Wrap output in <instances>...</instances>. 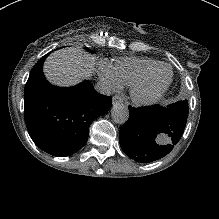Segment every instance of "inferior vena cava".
<instances>
[{
	"instance_id": "602c4592",
	"label": "inferior vena cava",
	"mask_w": 219,
	"mask_h": 219,
	"mask_svg": "<svg viewBox=\"0 0 219 219\" xmlns=\"http://www.w3.org/2000/svg\"><path fill=\"white\" fill-rule=\"evenodd\" d=\"M94 88L98 93L102 95H106V96L113 95V88L105 82H97Z\"/></svg>"
}]
</instances>
